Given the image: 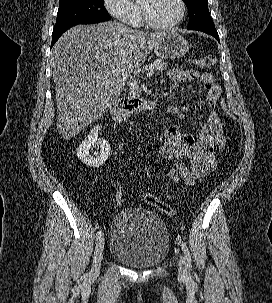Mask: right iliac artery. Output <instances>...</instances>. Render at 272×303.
<instances>
[{
    "label": "right iliac artery",
    "mask_w": 272,
    "mask_h": 303,
    "mask_svg": "<svg viewBox=\"0 0 272 303\" xmlns=\"http://www.w3.org/2000/svg\"><path fill=\"white\" fill-rule=\"evenodd\" d=\"M103 235V232L102 231H98L97 234H96V239H100L101 236Z\"/></svg>",
    "instance_id": "obj_1"
}]
</instances>
